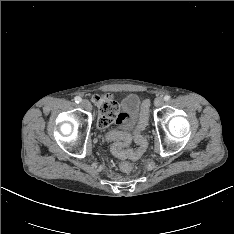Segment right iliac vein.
<instances>
[{
  "label": "right iliac vein",
  "instance_id": "obj_1",
  "mask_svg": "<svg viewBox=\"0 0 234 234\" xmlns=\"http://www.w3.org/2000/svg\"><path fill=\"white\" fill-rule=\"evenodd\" d=\"M81 105L86 110H91V108H92V106H91V104H90V102L88 100H83L81 102Z\"/></svg>",
  "mask_w": 234,
  "mask_h": 234
}]
</instances>
